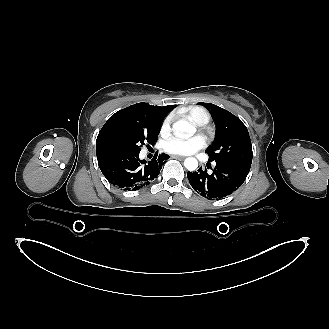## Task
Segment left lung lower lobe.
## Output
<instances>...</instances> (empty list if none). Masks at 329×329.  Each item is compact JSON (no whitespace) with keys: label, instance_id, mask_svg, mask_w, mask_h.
Returning <instances> with one entry per match:
<instances>
[{"label":"left lung lower lobe","instance_id":"0a47b994","mask_svg":"<svg viewBox=\"0 0 329 329\" xmlns=\"http://www.w3.org/2000/svg\"><path fill=\"white\" fill-rule=\"evenodd\" d=\"M249 171L223 162H216L212 174L202 167L198 171L188 172L187 177L192 188L201 196L213 200L222 199L237 190L245 181Z\"/></svg>","mask_w":329,"mask_h":329}]
</instances>
